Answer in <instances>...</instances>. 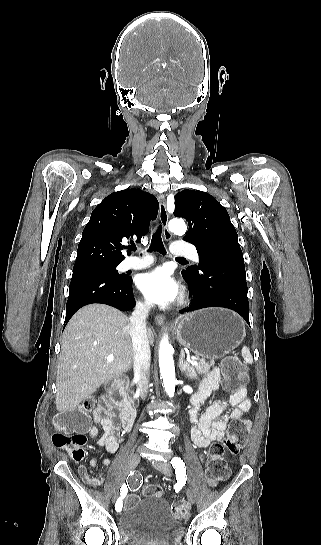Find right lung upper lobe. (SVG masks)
I'll return each instance as SVG.
<instances>
[{
    "instance_id": "obj_1",
    "label": "right lung upper lobe",
    "mask_w": 321,
    "mask_h": 545,
    "mask_svg": "<svg viewBox=\"0 0 321 545\" xmlns=\"http://www.w3.org/2000/svg\"><path fill=\"white\" fill-rule=\"evenodd\" d=\"M157 199L139 188L114 192L93 211L78 245L75 270L116 265L125 259L127 240L147 234L158 213ZM130 255V252H127Z\"/></svg>"
}]
</instances>
